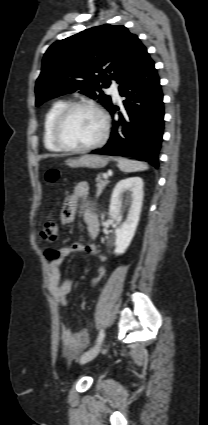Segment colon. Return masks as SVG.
Returning a JSON list of instances; mask_svg holds the SVG:
<instances>
[{
	"label": "colon",
	"instance_id": "5ec220e1",
	"mask_svg": "<svg viewBox=\"0 0 208 425\" xmlns=\"http://www.w3.org/2000/svg\"><path fill=\"white\" fill-rule=\"evenodd\" d=\"M59 177L60 171L58 169L52 168L45 172V179L49 184H55ZM58 234L59 228L57 222L53 219H48L41 230V237L47 242H54L57 240ZM46 254L50 259H56L59 257L58 250L50 249L46 252ZM105 273L106 271L103 267L95 269L89 278V285L91 287L99 285L103 281Z\"/></svg>",
	"mask_w": 208,
	"mask_h": 425
}]
</instances>
